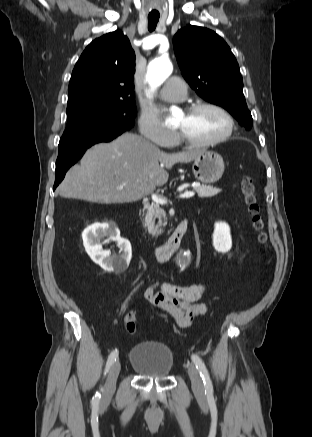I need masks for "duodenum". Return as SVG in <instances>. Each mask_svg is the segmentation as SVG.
Here are the masks:
<instances>
[{
    "mask_svg": "<svg viewBox=\"0 0 312 437\" xmlns=\"http://www.w3.org/2000/svg\"><path fill=\"white\" fill-rule=\"evenodd\" d=\"M187 227L188 220L184 218L177 224L174 232L165 244L150 248L153 257L157 262H166L171 258L181 244Z\"/></svg>",
    "mask_w": 312,
    "mask_h": 437,
    "instance_id": "410a0bca",
    "label": "duodenum"
}]
</instances>
